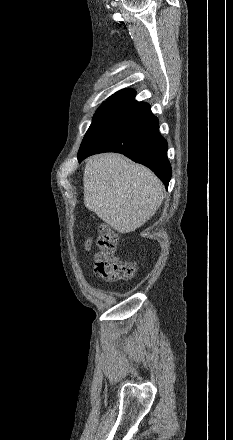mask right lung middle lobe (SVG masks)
I'll return each mask as SVG.
<instances>
[{
	"instance_id": "right-lung-middle-lobe-1",
	"label": "right lung middle lobe",
	"mask_w": 233,
	"mask_h": 440,
	"mask_svg": "<svg viewBox=\"0 0 233 440\" xmlns=\"http://www.w3.org/2000/svg\"><path fill=\"white\" fill-rule=\"evenodd\" d=\"M123 107H124L123 105H119V104L103 103L96 111L92 124L89 127L85 137L88 136L90 133H92L94 130H96L103 123H105L109 118H111Z\"/></svg>"
}]
</instances>
